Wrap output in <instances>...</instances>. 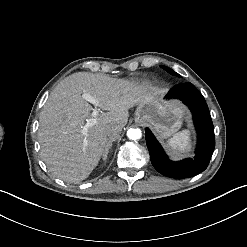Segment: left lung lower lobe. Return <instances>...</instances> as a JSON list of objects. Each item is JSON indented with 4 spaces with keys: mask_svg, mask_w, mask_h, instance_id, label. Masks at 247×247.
<instances>
[{
    "mask_svg": "<svg viewBox=\"0 0 247 247\" xmlns=\"http://www.w3.org/2000/svg\"><path fill=\"white\" fill-rule=\"evenodd\" d=\"M166 99H179L192 112L197 131L196 155L181 161H172L165 154L152 132L146 128V143L154 168L164 176L171 178H189L203 172L211 159L215 148V135L207 103L192 83H183L169 90Z\"/></svg>",
    "mask_w": 247,
    "mask_h": 247,
    "instance_id": "left-lung-lower-lobe-1",
    "label": "left lung lower lobe"
}]
</instances>
